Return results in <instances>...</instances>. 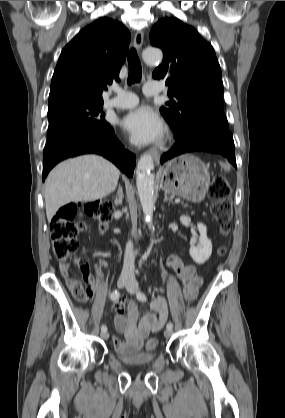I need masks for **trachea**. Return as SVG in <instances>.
I'll return each instance as SVG.
<instances>
[{
	"label": "trachea",
	"mask_w": 285,
	"mask_h": 418,
	"mask_svg": "<svg viewBox=\"0 0 285 418\" xmlns=\"http://www.w3.org/2000/svg\"><path fill=\"white\" fill-rule=\"evenodd\" d=\"M128 65V84L140 82L142 76V68L137 52L134 48L130 49L128 53Z\"/></svg>",
	"instance_id": "3493384b"
}]
</instances>
